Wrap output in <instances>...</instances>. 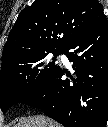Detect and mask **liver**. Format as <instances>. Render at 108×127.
<instances>
[{"label": "liver", "mask_w": 108, "mask_h": 127, "mask_svg": "<svg viewBox=\"0 0 108 127\" xmlns=\"http://www.w3.org/2000/svg\"><path fill=\"white\" fill-rule=\"evenodd\" d=\"M14 127H61V125L43 115H35L23 118Z\"/></svg>", "instance_id": "obj_1"}]
</instances>
